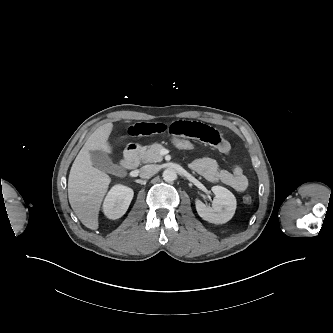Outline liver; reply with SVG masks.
I'll use <instances>...</instances> for the list:
<instances>
[{"instance_id": "6515ba94", "label": "liver", "mask_w": 333, "mask_h": 333, "mask_svg": "<svg viewBox=\"0 0 333 333\" xmlns=\"http://www.w3.org/2000/svg\"><path fill=\"white\" fill-rule=\"evenodd\" d=\"M112 129L113 124L110 122L93 132L75 158L68 178L69 203L82 224L92 230L98 229L101 202L111 178L93 166L90 151L112 153L108 143Z\"/></svg>"}]
</instances>
